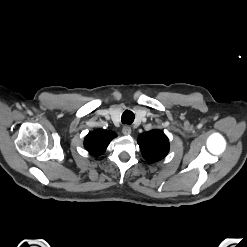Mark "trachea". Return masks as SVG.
Listing matches in <instances>:
<instances>
[{
	"mask_svg": "<svg viewBox=\"0 0 247 247\" xmlns=\"http://www.w3.org/2000/svg\"><path fill=\"white\" fill-rule=\"evenodd\" d=\"M135 115L132 111L130 110H126L123 114H122V123L124 124H131L134 121Z\"/></svg>",
	"mask_w": 247,
	"mask_h": 247,
	"instance_id": "trachea-1",
	"label": "trachea"
}]
</instances>
